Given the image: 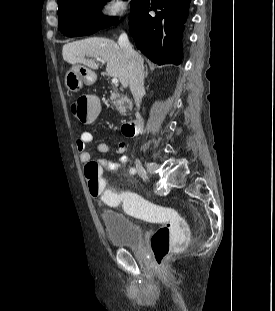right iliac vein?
I'll list each match as a JSON object with an SVG mask.
<instances>
[{
    "label": "right iliac vein",
    "instance_id": "1",
    "mask_svg": "<svg viewBox=\"0 0 275 311\" xmlns=\"http://www.w3.org/2000/svg\"><path fill=\"white\" fill-rule=\"evenodd\" d=\"M135 167H136L137 173L139 174L140 177H142L143 179H148V174H147L146 170L144 169L140 160L135 161Z\"/></svg>",
    "mask_w": 275,
    "mask_h": 311
}]
</instances>
